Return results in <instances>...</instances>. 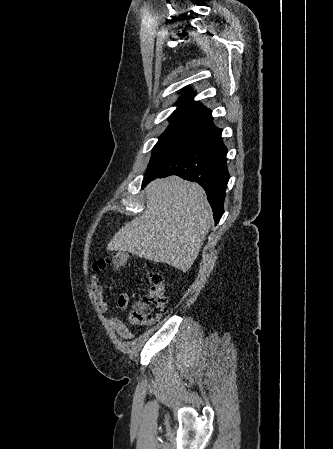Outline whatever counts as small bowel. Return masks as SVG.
Returning <instances> with one entry per match:
<instances>
[{"instance_id": "c3829d8e", "label": "small bowel", "mask_w": 333, "mask_h": 449, "mask_svg": "<svg viewBox=\"0 0 333 449\" xmlns=\"http://www.w3.org/2000/svg\"><path fill=\"white\" fill-rule=\"evenodd\" d=\"M90 287L97 309L102 313H106L109 309V303L104 298L103 284L99 275L97 274V271H95L91 278ZM129 302V295L126 292H123L118 297L117 306L119 309L124 310L128 307ZM108 321L120 337L125 340H129L132 338V333L129 331L128 327L121 319L115 316H111L108 318Z\"/></svg>"}]
</instances>
